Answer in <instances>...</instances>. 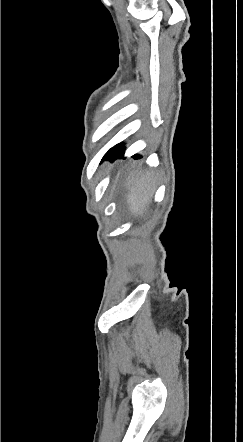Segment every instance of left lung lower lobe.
Wrapping results in <instances>:
<instances>
[{
    "mask_svg": "<svg viewBox=\"0 0 243 442\" xmlns=\"http://www.w3.org/2000/svg\"><path fill=\"white\" fill-rule=\"evenodd\" d=\"M124 150L125 147L121 144H117L116 146H114L113 148H111L104 156L103 159H108V160H115L117 158H120L124 155ZM134 158H140V156L135 155Z\"/></svg>",
    "mask_w": 243,
    "mask_h": 442,
    "instance_id": "0a47b994",
    "label": "left lung lower lobe"
}]
</instances>
